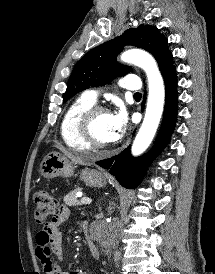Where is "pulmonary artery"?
Wrapping results in <instances>:
<instances>
[{
	"label": "pulmonary artery",
	"mask_w": 215,
	"mask_h": 274,
	"mask_svg": "<svg viewBox=\"0 0 215 274\" xmlns=\"http://www.w3.org/2000/svg\"><path fill=\"white\" fill-rule=\"evenodd\" d=\"M119 84L122 88L131 91H138L141 88V84L138 77L131 75L125 76L122 79H120ZM84 95L93 102L97 101L98 92L96 90H88L84 93Z\"/></svg>",
	"instance_id": "obj_1"
}]
</instances>
